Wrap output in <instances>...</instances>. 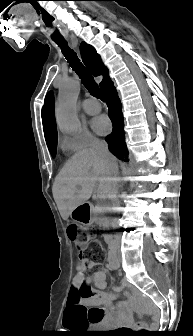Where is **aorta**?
I'll return each mask as SVG.
<instances>
[{
  "instance_id": "1",
  "label": "aorta",
  "mask_w": 193,
  "mask_h": 336,
  "mask_svg": "<svg viewBox=\"0 0 193 336\" xmlns=\"http://www.w3.org/2000/svg\"><path fill=\"white\" fill-rule=\"evenodd\" d=\"M80 92V83L76 78H68L59 87L56 119L60 130L74 134L81 126L76 112V103Z\"/></svg>"
}]
</instances>
